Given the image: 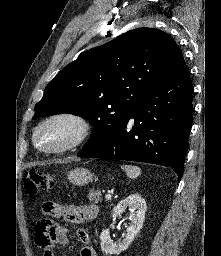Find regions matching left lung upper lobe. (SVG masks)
I'll use <instances>...</instances> for the list:
<instances>
[{
  "label": "left lung upper lobe",
  "mask_w": 221,
  "mask_h": 256,
  "mask_svg": "<svg viewBox=\"0 0 221 256\" xmlns=\"http://www.w3.org/2000/svg\"><path fill=\"white\" fill-rule=\"evenodd\" d=\"M185 66L167 33L137 28L82 52L49 82L33 119L71 113L90 120L93 144L117 126L157 85Z\"/></svg>",
  "instance_id": "1"
}]
</instances>
